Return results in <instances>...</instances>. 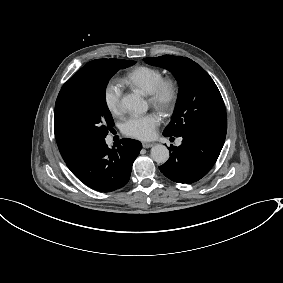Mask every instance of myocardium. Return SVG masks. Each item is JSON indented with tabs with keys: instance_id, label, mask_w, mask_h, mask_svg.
Segmentation results:
<instances>
[{
	"instance_id": "obj_1",
	"label": "myocardium",
	"mask_w": 283,
	"mask_h": 283,
	"mask_svg": "<svg viewBox=\"0 0 283 283\" xmlns=\"http://www.w3.org/2000/svg\"><path fill=\"white\" fill-rule=\"evenodd\" d=\"M177 98V84L169 78H163L148 94L150 105L163 113H169L173 110Z\"/></svg>"
}]
</instances>
